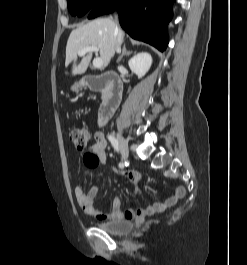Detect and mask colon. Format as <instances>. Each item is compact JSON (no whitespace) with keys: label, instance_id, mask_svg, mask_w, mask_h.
Masks as SVG:
<instances>
[{"label":"colon","instance_id":"1","mask_svg":"<svg viewBox=\"0 0 247 265\" xmlns=\"http://www.w3.org/2000/svg\"><path fill=\"white\" fill-rule=\"evenodd\" d=\"M68 134L74 146L79 150H83L91 138L90 130L85 127H72Z\"/></svg>","mask_w":247,"mask_h":265}]
</instances>
